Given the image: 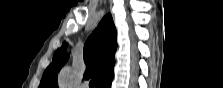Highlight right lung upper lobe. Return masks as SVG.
Listing matches in <instances>:
<instances>
[{
    "label": "right lung upper lobe",
    "instance_id": "right-lung-upper-lobe-1",
    "mask_svg": "<svg viewBox=\"0 0 223 88\" xmlns=\"http://www.w3.org/2000/svg\"><path fill=\"white\" fill-rule=\"evenodd\" d=\"M116 35L112 16L107 14L85 43L83 54L87 69L84 78L96 77V87L113 79L114 55L117 49ZM68 57L63 44L55 52L52 64L45 70L39 88H58L57 73L67 62Z\"/></svg>",
    "mask_w": 223,
    "mask_h": 88
}]
</instances>
